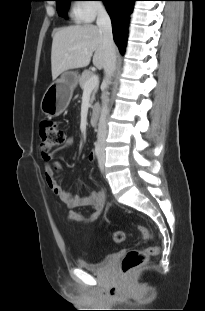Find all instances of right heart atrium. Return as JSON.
I'll use <instances>...</instances> for the list:
<instances>
[{
	"mask_svg": "<svg viewBox=\"0 0 205 311\" xmlns=\"http://www.w3.org/2000/svg\"><path fill=\"white\" fill-rule=\"evenodd\" d=\"M98 0H79L75 8V16L82 21L91 22L99 14L104 13V7Z\"/></svg>",
	"mask_w": 205,
	"mask_h": 311,
	"instance_id": "d8ad5b80",
	"label": "right heart atrium"
}]
</instances>
